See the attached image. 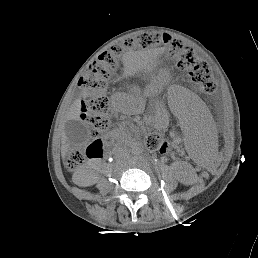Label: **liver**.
I'll list each match as a JSON object with an SVG mask.
<instances>
[{"instance_id":"1","label":"liver","mask_w":258,"mask_h":258,"mask_svg":"<svg viewBox=\"0 0 258 258\" xmlns=\"http://www.w3.org/2000/svg\"><path fill=\"white\" fill-rule=\"evenodd\" d=\"M126 73L130 74L132 72L131 68L129 66L125 67ZM87 94L83 93V97H86ZM81 114V102L80 99L73 105L71 113H70V120H79ZM67 141V137L65 136V141L63 143L62 147V153L65 156L70 148V144Z\"/></svg>"}]
</instances>
